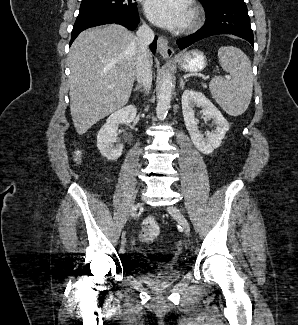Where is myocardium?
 <instances>
[{"label":"myocardium","mask_w":298,"mask_h":325,"mask_svg":"<svg viewBox=\"0 0 298 325\" xmlns=\"http://www.w3.org/2000/svg\"><path fill=\"white\" fill-rule=\"evenodd\" d=\"M198 24V15H197V12L196 10L190 6L189 7V21L188 23L186 24V27L184 30H192L193 28H195Z\"/></svg>","instance_id":"myocardium-1"}]
</instances>
